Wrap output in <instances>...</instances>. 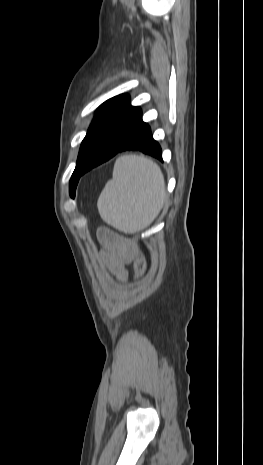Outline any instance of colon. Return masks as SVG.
I'll list each match as a JSON object with an SVG mask.
<instances>
[{
    "label": "colon",
    "mask_w": 263,
    "mask_h": 465,
    "mask_svg": "<svg viewBox=\"0 0 263 465\" xmlns=\"http://www.w3.org/2000/svg\"><path fill=\"white\" fill-rule=\"evenodd\" d=\"M134 268H135V273L137 275H140V274H142L144 272V270H145V262H144L143 258L138 257L136 259Z\"/></svg>",
    "instance_id": "5ec220e1"
}]
</instances>
